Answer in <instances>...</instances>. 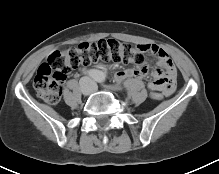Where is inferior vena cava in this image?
<instances>
[{
	"label": "inferior vena cava",
	"instance_id": "1",
	"mask_svg": "<svg viewBox=\"0 0 219 174\" xmlns=\"http://www.w3.org/2000/svg\"><path fill=\"white\" fill-rule=\"evenodd\" d=\"M86 92L92 93L97 90V84L89 77L85 78Z\"/></svg>",
	"mask_w": 219,
	"mask_h": 174
}]
</instances>
